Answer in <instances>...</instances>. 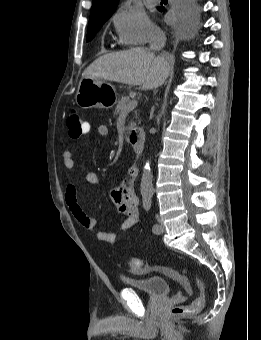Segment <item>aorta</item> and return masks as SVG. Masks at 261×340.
<instances>
[{"label": "aorta", "mask_w": 261, "mask_h": 340, "mask_svg": "<svg viewBox=\"0 0 261 340\" xmlns=\"http://www.w3.org/2000/svg\"><path fill=\"white\" fill-rule=\"evenodd\" d=\"M140 190L143 196L153 194L152 173L149 161L146 163L143 169Z\"/></svg>", "instance_id": "1"}]
</instances>
